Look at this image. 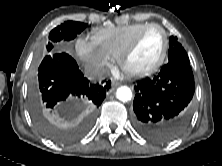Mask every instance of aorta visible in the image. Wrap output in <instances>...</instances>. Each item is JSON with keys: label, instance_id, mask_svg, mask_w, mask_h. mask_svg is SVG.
I'll use <instances>...</instances> for the list:
<instances>
[{"label": "aorta", "instance_id": "1", "mask_svg": "<svg viewBox=\"0 0 222 166\" xmlns=\"http://www.w3.org/2000/svg\"><path fill=\"white\" fill-rule=\"evenodd\" d=\"M116 97L122 102H127L131 100L132 92L129 87L121 86L116 91Z\"/></svg>", "mask_w": 222, "mask_h": 166}]
</instances>
